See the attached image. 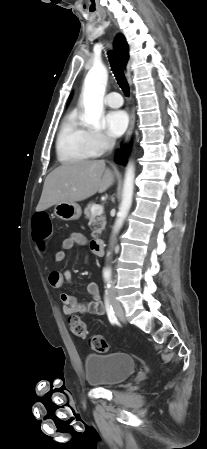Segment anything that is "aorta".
I'll return each mask as SVG.
<instances>
[{
    "mask_svg": "<svg viewBox=\"0 0 207 449\" xmlns=\"http://www.w3.org/2000/svg\"><path fill=\"white\" fill-rule=\"evenodd\" d=\"M108 73L103 64H94L87 73L82 91L84 115L82 123L96 129L101 128V117L103 114V97L107 85ZM135 170L132 164H129L125 174L122 202L119 207L117 219L114 225V235L122 227L125 218L132 204L134 191ZM109 255V254H108ZM105 280L110 278V269L103 270Z\"/></svg>",
    "mask_w": 207,
    "mask_h": 449,
    "instance_id": "aorta-1",
    "label": "aorta"
}]
</instances>
